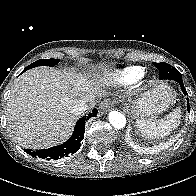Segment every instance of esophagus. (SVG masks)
I'll return each instance as SVG.
<instances>
[{
  "label": "esophagus",
  "mask_w": 196,
  "mask_h": 196,
  "mask_svg": "<svg viewBox=\"0 0 196 196\" xmlns=\"http://www.w3.org/2000/svg\"><path fill=\"white\" fill-rule=\"evenodd\" d=\"M113 102L111 100H105L103 102H101V104L99 105V110L101 113L107 112L110 110L111 106H112Z\"/></svg>",
  "instance_id": "1"
}]
</instances>
